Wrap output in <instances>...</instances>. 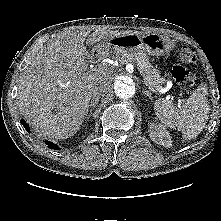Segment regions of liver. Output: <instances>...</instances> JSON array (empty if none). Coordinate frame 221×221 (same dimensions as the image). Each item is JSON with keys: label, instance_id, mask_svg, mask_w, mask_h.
<instances>
[{"label": "liver", "instance_id": "obj_1", "mask_svg": "<svg viewBox=\"0 0 221 221\" xmlns=\"http://www.w3.org/2000/svg\"><path fill=\"white\" fill-rule=\"evenodd\" d=\"M133 31H67L50 40L23 72L18 87L19 107L24 118L43 136L65 139L83 123L92 89L105 84L108 69L88 70L87 43L99 55L114 37ZM138 33V32H134Z\"/></svg>", "mask_w": 221, "mask_h": 221}]
</instances>
